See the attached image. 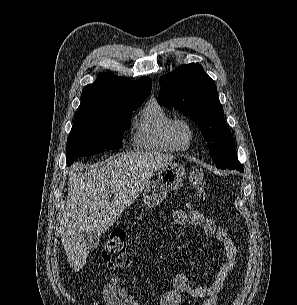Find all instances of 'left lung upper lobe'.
<instances>
[{"label": "left lung upper lobe", "instance_id": "obj_1", "mask_svg": "<svg viewBox=\"0 0 297 305\" xmlns=\"http://www.w3.org/2000/svg\"><path fill=\"white\" fill-rule=\"evenodd\" d=\"M159 84L163 87L158 96L160 104L174 107L198 125L217 167L243 171L215 82L203 67L198 63L180 66L163 76Z\"/></svg>", "mask_w": 297, "mask_h": 305}]
</instances>
